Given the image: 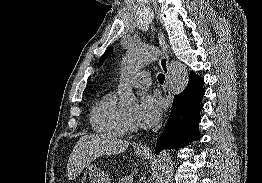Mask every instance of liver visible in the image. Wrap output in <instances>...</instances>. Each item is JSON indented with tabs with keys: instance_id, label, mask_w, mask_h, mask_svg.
<instances>
[{
	"instance_id": "1",
	"label": "liver",
	"mask_w": 262,
	"mask_h": 183,
	"mask_svg": "<svg viewBox=\"0 0 262 183\" xmlns=\"http://www.w3.org/2000/svg\"><path fill=\"white\" fill-rule=\"evenodd\" d=\"M129 142L105 134L82 136L74 146L68 159V178L74 180L84 168L102 155H116L125 151Z\"/></svg>"
}]
</instances>
